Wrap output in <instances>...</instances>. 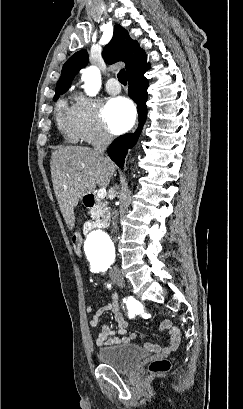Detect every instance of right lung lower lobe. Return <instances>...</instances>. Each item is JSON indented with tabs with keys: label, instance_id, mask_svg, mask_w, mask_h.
<instances>
[{
	"label": "right lung lower lobe",
	"instance_id": "98d812e1",
	"mask_svg": "<svg viewBox=\"0 0 243 409\" xmlns=\"http://www.w3.org/2000/svg\"><path fill=\"white\" fill-rule=\"evenodd\" d=\"M145 72V71H144ZM144 72L128 78L129 96L138 106L140 122L137 131L134 134H125L118 137L109 147L108 154L110 158L120 167L124 166V159L127 150L135 145L147 115V87L148 80L144 77Z\"/></svg>",
	"mask_w": 243,
	"mask_h": 409
}]
</instances>
